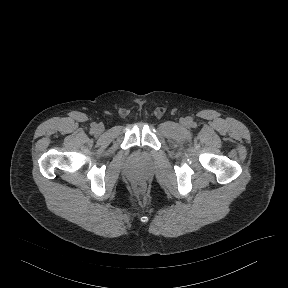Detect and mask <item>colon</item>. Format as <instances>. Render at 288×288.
Listing matches in <instances>:
<instances>
[{"instance_id": "colon-1", "label": "colon", "mask_w": 288, "mask_h": 288, "mask_svg": "<svg viewBox=\"0 0 288 288\" xmlns=\"http://www.w3.org/2000/svg\"><path fill=\"white\" fill-rule=\"evenodd\" d=\"M131 191H132V193L135 194V195H140V194H142L143 191H144V186H143V184L140 183V182H135V183H133L132 186H131Z\"/></svg>"}]
</instances>
